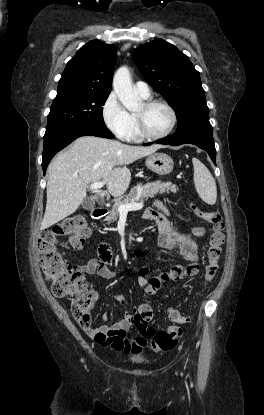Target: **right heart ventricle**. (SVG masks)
<instances>
[{
	"label": "right heart ventricle",
	"instance_id": "obj_1",
	"mask_svg": "<svg viewBox=\"0 0 264 415\" xmlns=\"http://www.w3.org/2000/svg\"><path fill=\"white\" fill-rule=\"evenodd\" d=\"M130 118H131L130 130H129L128 134L126 135V137L124 139L126 141H130V142H138V141L141 140V137L139 136V134L137 132L135 115L130 114Z\"/></svg>",
	"mask_w": 264,
	"mask_h": 415
}]
</instances>
